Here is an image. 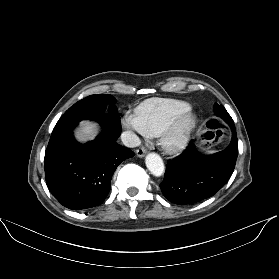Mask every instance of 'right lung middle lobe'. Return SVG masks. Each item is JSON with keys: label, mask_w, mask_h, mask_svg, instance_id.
Returning <instances> with one entry per match:
<instances>
[{"label": "right lung middle lobe", "mask_w": 279, "mask_h": 279, "mask_svg": "<svg viewBox=\"0 0 279 279\" xmlns=\"http://www.w3.org/2000/svg\"><path fill=\"white\" fill-rule=\"evenodd\" d=\"M115 102L116 99L109 94L88 96L70 107L59 119L53 131L74 126L82 119H96L104 115L107 104L110 105V113L118 115Z\"/></svg>", "instance_id": "dd1d6c3e"}]
</instances>
